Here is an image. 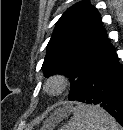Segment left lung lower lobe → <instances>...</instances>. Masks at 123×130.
Returning <instances> with one entry per match:
<instances>
[{
  "label": "left lung lower lobe",
  "mask_w": 123,
  "mask_h": 130,
  "mask_svg": "<svg viewBox=\"0 0 123 130\" xmlns=\"http://www.w3.org/2000/svg\"><path fill=\"white\" fill-rule=\"evenodd\" d=\"M76 101L104 108L123 126V67L113 46L95 62Z\"/></svg>",
  "instance_id": "0a47b994"
}]
</instances>
